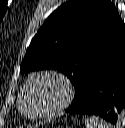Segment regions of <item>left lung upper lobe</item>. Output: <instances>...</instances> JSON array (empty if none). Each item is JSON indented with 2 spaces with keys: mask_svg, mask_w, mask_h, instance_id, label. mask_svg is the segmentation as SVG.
I'll list each match as a JSON object with an SVG mask.
<instances>
[{
  "mask_svg": "<svg viewBox=\"0 0 125 128\" xmlns=\"http://www.w3.org/2000/svg\"><path fill=\"white\" fill-rule=\"evenodd\" d=\"M125 31L109 0H70L58 7L32 39L21 73L54 69L75 87V103L90 71Z\"/></svg>",
  "mask_w": 125,
  "mask_h": 128,
  "instance_id": "1",
  "label": "left lung upper lobe"
}]
</instances>
